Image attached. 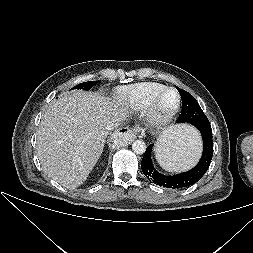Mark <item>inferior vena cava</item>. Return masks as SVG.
I'll return each instance as SVG.
<instances>
[{
	"instance_id": "1",
	"label": "inferior vena cava",
	"mask_w": 253,
	"mask_h": 253,
	"mask_svg": "<svg viewBox=\"0 0 253 253\" xmlns=\"http://www.w3.org/2000/svg\"><path fill=\"white\" fill-rule=\"evenodd\" d=\"M121 123V119H117L114 123H111L110 125L107 126L108 130L114 129L116 127H118Z\"/></svg>"
}]
</instances>
